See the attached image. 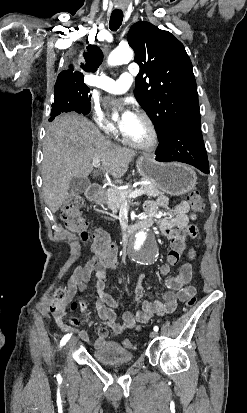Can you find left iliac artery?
<instances>
[{
	"mask_svg": "<svg viewBox=\"0 0 247 413\" xmlns=\"http://www.w3.org/2000/svg\"><path fill=\"white\" fill-rule=\"evenodd\" d=\"M153 329H154V331H156V332L159 330V328H158L157 326H154Z\"/></svg>",
	"mask_w": 247,
	"mask_h": 413,
	"instance_id": "left-iliac-artery-1",
	"label": "left iliac artery"
}]
</instances>
